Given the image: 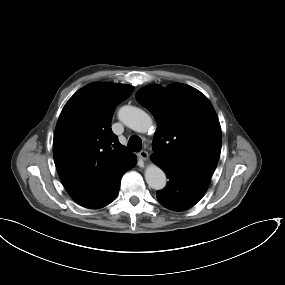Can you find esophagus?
<instances>
[{
    "label": "esophagus",
    "instance_id": "obj_1",
    "mask_svg": "<svg viewBox=\"0 0 285 285\" xmlns=\"http://www.w3.org/2000/svg\"><path fill=\"white\" fill-rule=\"evenodd\" d=\"M137 155H138V157L141 158L143 161H147V160H148V157H149L148 152L145 151V150H141Z\"/></svg>",
    "mask_w": 285,
    "mask_h": 285
}]
</instances>
